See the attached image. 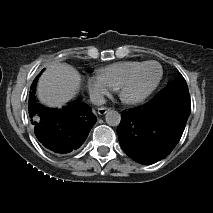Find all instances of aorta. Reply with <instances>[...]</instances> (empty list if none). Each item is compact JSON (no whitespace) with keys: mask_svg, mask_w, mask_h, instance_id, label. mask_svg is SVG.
Here are the masks:
<instances>
[{"mask_svg":"<svg viewBox=\"0 0 213 213\" xmlns=\"http://www.w3.org/2000/svg\"><path fill=\"white\" fill-rule=\"evenodd\" d=\"M105 121L109 126H118L121 121V115L118 111L109 109L106 112Z\"/></svg>","mask_w":213,"mask_h":213,"instance_id":"1","label":"aorta"}]
</instances>
